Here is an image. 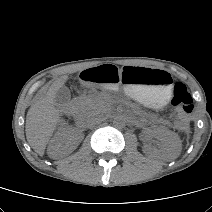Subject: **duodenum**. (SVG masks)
Returning a JSON list of instances; mask_svg holds the SVG:
<instances>
[{
  "instance_id": "410a0bca",
  "label": "duodenum",
  "mask_w": 212,
  "mask_h": 212,
  "mask_svg": "<svg viewBox=\"0 0 212 212\" xmlns=\"http://www.w3.org/2000/svg\"><path fill=\"white\" fill-rule=\"evenodd\" d=\"M66 112L69 114V115H74L75 112H76V109H75V106L73 104H68L66 106Z\"/></svg>"
}]
</instances>
